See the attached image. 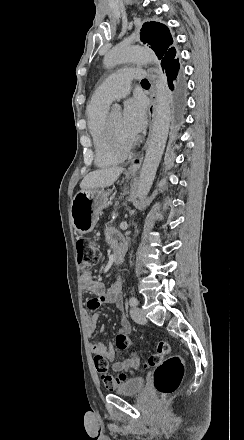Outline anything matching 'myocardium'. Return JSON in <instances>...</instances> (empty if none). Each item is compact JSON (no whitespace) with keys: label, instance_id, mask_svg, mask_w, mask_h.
<instances>
[{"label":"myocardium","instance_id":"1","mask_svg":"<svg viewBox=\"0 0 244 440\" xmlns=\"http://www.w3.org/2000/svg\"><path fill=\"white\" fill-rule=\"evenodd\" d=\"M104 124L105 126L103 128L109 131L108 133L106 132L104 134L106 136L104 139L108 141L106 144L108 147H122V145H129V142L125 139L124 135L114 131L111 127L109 122V114L105 116Z\"/></svg>","mask_w":244,"mask_h":440}]
</instances>
